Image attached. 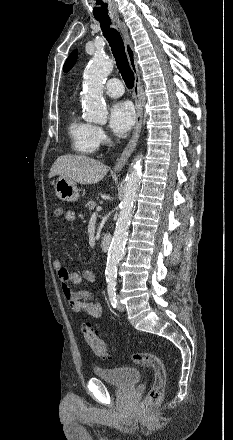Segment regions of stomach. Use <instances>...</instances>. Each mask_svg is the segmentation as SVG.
Segmentation results:
<instances>
[{"mask_svg": "<svg viewBox=\"0 0 233 440\" xmlns=\"http://www.w3.org/2000/svg\"><path fill=\"white\" fill-rule=\"evenodd\" d=\"M56 196L66 202L77 201L80 197L76 182L60 176L54 184Z\"/></svg>", "mask_w": 233, "mask_h": 440, "instance_id": "stomach-1", "label": "stomach"}]
</instances>
